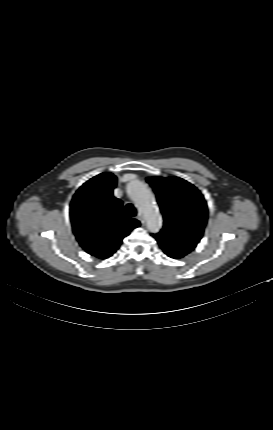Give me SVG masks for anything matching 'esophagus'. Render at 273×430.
<instances>
[{
	"mask_svg": "<svg viewBox=\"0 0 273 430\" xmlns=\"http://www.w3.org/2000/svg\"><path fill=\"white\" fill-rule=\"evenodd\" d=\"M137 219L143 224L145 222V219L142 214H138Z\"/></svg>",
	"mask_w": 273,
	"mask_h": 430,
	"instance_id": "obj_1",
	"label": "esophagus"
}]
</instances>
